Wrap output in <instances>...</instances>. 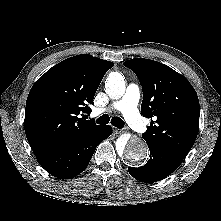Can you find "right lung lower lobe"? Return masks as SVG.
<instances>
[{
	"mask_svg": "<svg viewBox=\"0 0 221 221\" xmlns=\"http://www.w3.org/2000/svg\"><path fill=\"white\" fill-rule=\"evenodd\" d=\"M111 133V126H101L82 138L36 156L37 160L48 173L57 178H74L86 169L98 144Z\"/></svg>",
	"mask_w": 221,
	"mask_h": 221,
	"instance_id": "98d812e1",
	"label": "right lung lower lobe"
}]
</instances>
